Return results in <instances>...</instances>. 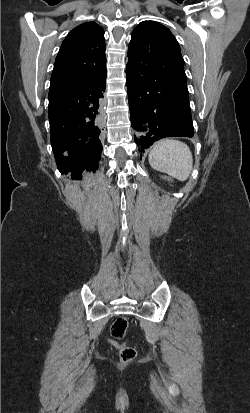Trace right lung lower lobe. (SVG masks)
<instances>
[{
    "label": "right lung lower lobe",
    "instance_id": "1",
    "mask_svg": "<svg viewBox=\"0 0 250 413\" xmlns=\"http://www.w3.org/2000/svg\"><path fill=\"white\" fill-rule=\"evenodd\" d=\"M105 88L106 70L88 82L49 92L52 150L59 171L72 179L98 168Z\"/></svg>",
    "mask_w": 250,
    "mask_h": 413
}]
</instances>
